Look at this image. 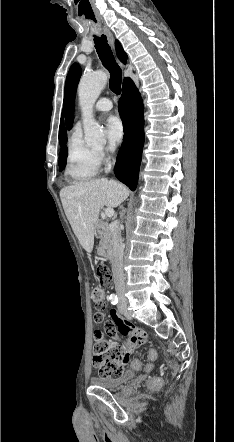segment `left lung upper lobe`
Returning a JSON list of instances; mask_svg holds the SVG:
<instances>
[{
	"label": "left lung upper lobe",
	"mask_w": 234,
	"mask_h": 442,
	"mask_svg": "<svg viewBox=\"0 0 234 442\" xmlns=\"http://www.w3.org/2000/svg\"><path fill=\"white\" fill-rule=\"evenodd\" d=\"M80 76L81 68L79 64L74 63L68 72L64 91L63 107L67 129L72 127L74 121V100Z\"/></svg>",
	"instance_id": "5c2ea615"
}]
</instances>
